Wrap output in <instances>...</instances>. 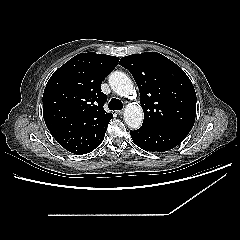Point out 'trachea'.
<instances>
[{"label":"trachea","mask_w":240,"mask_h":240,"mask_svg":"<svg viewBox=\"0 0 240 240\" xmlns=\"http://www.w3.org/2000/svg\"><path fill=\"white\" fill-rule=\"evenodd\" d=\"M108 108L110 110H121L123 108V103L119 99H111V101L108 104Z\"/></svg>","instance_id":"obj_1"}]
</instances>
